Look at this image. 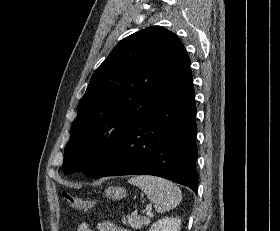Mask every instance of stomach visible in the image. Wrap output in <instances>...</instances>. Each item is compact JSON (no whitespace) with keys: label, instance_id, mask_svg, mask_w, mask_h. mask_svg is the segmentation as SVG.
Here are the masks:
<instances>
[{"label":"stomach","instance_id":"obj_1","mask_svg":"<svg viewBox=\"0 0 280 231\" xmlns=\"http://www.w3.org/2000/svg\"><path fill=\"white\" fill-rule=\"evenodd\" d=\"M106 197H110V199H122L126 195V189L124 187H108L105 191Z\"/></svg>","mask_w":280,"mask_h":231}]
</instances>
